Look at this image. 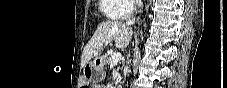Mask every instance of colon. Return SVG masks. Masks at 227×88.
<instances>
[{
	"mask_svg": "<svg viewBox=\"0 0 227 88\" xmlns=\"http://www.w3.org/2000/svg\"><path fill=\"white\" fill-rule=\"evenodd\" d=\"M83 88H88V85H84Z\"/></svg>",
	"mask_w": 227,
	"mask_h": 88,
	"instance_id": "1",
	"label": "colon"
}]
</instances>
